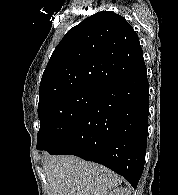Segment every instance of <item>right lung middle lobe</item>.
<instances>
[{
  "mask_svg": "<svg viewBox=\"0 0 178 195\" xmlns=\"http://www.w3.org/2000/svg\"><path fill=\"white\" fill-rule=\"evenodd\" d=\"M98 90L80 89L52 96L38 105L41 122L36 148L52 151L85 116Z\"/></svg>",
  "mask_w": 178,
  "mask_h": 195,
  "instance_id": "obj_1",
  "label": "right lung middle lobe"
}]
</instances>
